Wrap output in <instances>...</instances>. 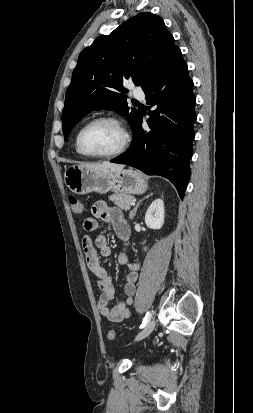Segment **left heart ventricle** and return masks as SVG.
I'll return each mask as SVG.
<instances>
[{
    "instance_id": "1",
    "label": "left heart ventricle",
    "mask_w": 253,
    "mask_h": 413,
    "mask_svg": "<svg viewBox=\"0 0 253 413\" xmlns=\"http://www.w3.org/2000/svg\"><path fill=\"white\" fill-rule=\"evenodd\" d=\"M123 135L113 124L101 122L87 128L82 136V144L86 151L103 154L115 151L122 143Z\"/></svg>"
}]
</instances>
